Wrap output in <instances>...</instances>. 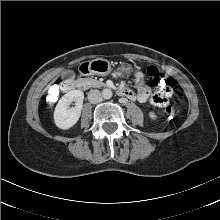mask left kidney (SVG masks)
Segmentation results:
<instances>
[{
	"mask_svg": "<svg viewBox=\"0 0 220 220\" xmlns=\"http://www.w3.org/2000/svg\"><path fill=\"white\" fill-rule=\"evenodd\" d=\"M149 117L152 119V120H155L156 119V114L154 112H149Z\"/></svg>",
	"mask_w": 220,
	"mask_h": 220,
	"instance_id": "obj_1",
	"label": "left kidney"
}]
</instances>
